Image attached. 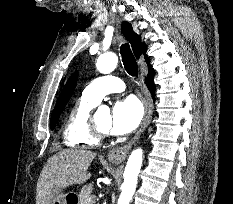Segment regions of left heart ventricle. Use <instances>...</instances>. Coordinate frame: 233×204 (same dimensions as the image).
Returning <instances> with one entry per match:
<instances>
[{
	"label": "left heart ventricle",
	"mask_w": 233,
	"mask_h": 204,
	"mask_svg": "<svg viewBox=\"0 0 233 204\" xmlns=\"http://www.w3.org/2000/svg\"><path fill=\"white\" fill-rule=\"evenodd\" d=\"M96 124L103 131H109L111 124V116L109 114H104L96 119Z\"/></svg>",
	"instance_id": "1"
}]
</instances>
